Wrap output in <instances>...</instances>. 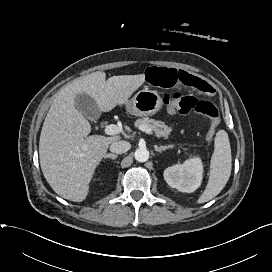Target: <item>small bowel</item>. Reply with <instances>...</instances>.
<instances>
[{
    "instance_id": "1",
    "label": "small bowel",
    "mask_w": 272,
    "mask_h": 272,
    "mask_svg": "<svg viewBox=\"0 0 272 272\" xmlns=\"http://www.w3.org/2000/svg\"><path fill=\"white\" fill-rule=\"evenodd\" d=\"M146 79L152 85L163 88L184 86L204 93L213 91V86L208 82L174 68L151 67L146 71Z\"/></svg>"
}]
</instances>
